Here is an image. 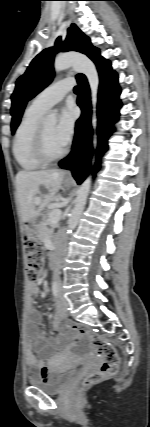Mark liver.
<instances>
[{"instance_id":"1","label":"liver","mask_w":150,"mask_h":427,"mask_svg":"<svg viewBox=\"0 0 150 427\" xmlns=\"http://www.w3.org/2000/svg\"><path fill=\"white\" fill-rule=\"evenodd\" d=\"M64 175V172L58 170L18 172L16 189L23 222L37 218L46 206L58 199ZM41 185L48 189V194L37 204L34 199Z\"/></svg>"}]
</instances>
